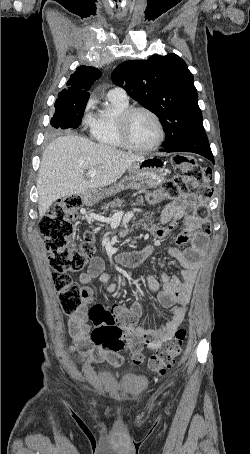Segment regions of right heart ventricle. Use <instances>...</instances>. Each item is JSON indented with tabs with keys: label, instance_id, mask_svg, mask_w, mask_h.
<instances>
[{
	"label": "right heart ventricle",
	"instance_id": "right-heart-ventricle-1",
	"mask_svg": "<svg viewBox=\"0 0 250 454\" xmlns=\"http://www.w3.org/2000/svg\"><path fill=\"white\" fill-rule=\"evenodd\" d=\"M110 111L98 112L91 116L90 134L100 145L124 148L118 129L117 116L120 112L129 107L128 102L124 103L115 99H110Z\"/></svg>",
	"mask_w": 250,
	"mask_h": 454
}]
</instances>
